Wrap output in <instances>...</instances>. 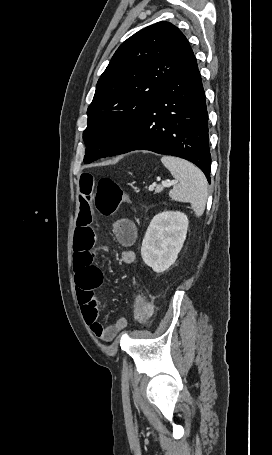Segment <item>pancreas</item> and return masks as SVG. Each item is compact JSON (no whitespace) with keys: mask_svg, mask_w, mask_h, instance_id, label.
<instances>
[{"mask_svg":"<svg viewBox=\"0 0 272 455\" xmlns=\"http://www.w3.org/2000/svg\"><path fill=\"white\" fill-rule=\"evenodd\" d=\"M162 190H163L162 185H156L154 194L160 193V192H162Z\"/></svg>","mask_w":272,"mask_h":455,"instance_id":"1","label":"pancreas"}]
</instances>
